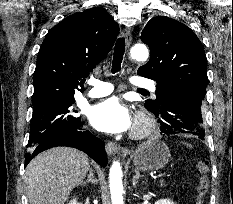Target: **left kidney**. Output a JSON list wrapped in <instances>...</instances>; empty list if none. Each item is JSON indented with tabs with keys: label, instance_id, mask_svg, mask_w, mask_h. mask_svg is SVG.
I'll return each mask as SVG.
<instances>
[{
	"label": "left kidney",
	"instance_id": "1",
	"mask_svg": "<svg viewBox=\"0 0 233 204\" xmlns=\"http://www.w3.org/2000/svg\"><path fill=\"white\" fill-rule=\"evenodd\" d=\"M155 204H175V203L169 199H161L156 201Z\"/></svg>",
	"mask_w": 233,
	"mask_h": 204
}]
</instances>
